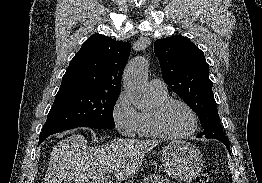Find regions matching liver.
<instances>
[{
    "label": "liver",
    "mask_w": 262,
    "mask_h": 183,
    "mask_svg": "<svg viewBox=\"0 0 262 183\" xmlns=\"http://www.w3.org/2000/svg\"><path fill=\"white\" fill-rule=\"evenodd\" d=\"M160 141L117 138L90 147L81 134L59 141L53 148L45 176L47 183H111L105 176L114 170L118 180L132 177L145 154Z\"/></svg>",
    "instance_id": "obj_1"
}]
</instances>
